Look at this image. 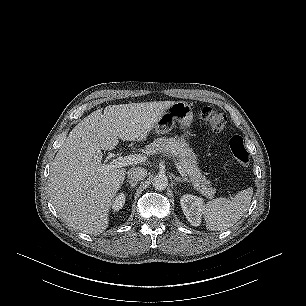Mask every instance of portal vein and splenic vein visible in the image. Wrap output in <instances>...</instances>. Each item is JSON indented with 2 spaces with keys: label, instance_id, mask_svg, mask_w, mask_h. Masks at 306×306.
Returning a JSON list of instances; mask_svg holds the SVG:
<instances>
[{
  "label": "portal vein and splenic vein",
  "instance_id": "1",
  "mask_svg": "<svg viewBox=\"0 0 306 306\" xmlns=\"http://www.w3.org/2000/svg\"><path fill=\"white\" fill-rule=\"evenodd\" d=\"M146 161V156L140 155V154H134V155H129V156H119L116 159H113V161L108 164L109 168H120V167H125L128 165H133V164H138L141 162ZM175 166L181 176L187 181L186 175L182 169V167L179 165V163L175 160Z\"/></svg>",
  "mask_w": 306,
  "mask_h": 306
}]
</instances>
